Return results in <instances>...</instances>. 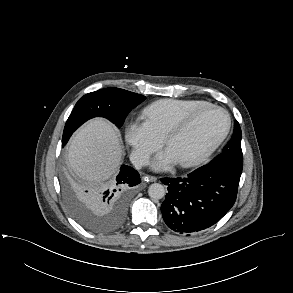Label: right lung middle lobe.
<instances>
[{
	"instance_id": "1",
	"label": "right lung middle lobe",
	"mask_w": 293,
	"mask_h": 293,
	"mask_svg": "<svg viewBox=\"0 0 293 293\" xmlns=\"http://www.w3.org/2000/svg\"><path fill=\"white\" fill-rule=\"evenodd\" d=\"M145 96L119 88H105L84 95L76 103L64 128L62 145L72 133L93 117H104L118 128L122 126L128 113L145 100ZM62 190L65 202L73 217L86 229L107 232L115 223L109 214H97L82 198L81 187L71 180H64Z\"/></svg>"
}]
</instances>
